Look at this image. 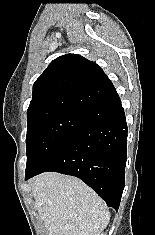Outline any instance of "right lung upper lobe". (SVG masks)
<instances>
[{
  "label": "right lung upper lobe",
  "mask_w": 155,
  "mask_h": 235,
  "mask_svg": "<svg viewBox=\"0 0 155 235\" xmlns=\"http://www.w3.org/2000/svg\"><path fill=\"white\" fill-rule=\"evenodd\" d=\"M110 81L94 62L78 54H65L53 60L34 82L27 114L44 110H64L90 122L98 118L85 91Z\"/></svg>",
  "instance_id": "obj_1"
}]
</instances>
